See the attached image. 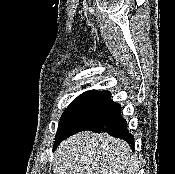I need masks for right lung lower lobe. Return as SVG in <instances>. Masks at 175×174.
<instances>
[{
	"instance_id": "right-lung-lower-lobe-1",
	"label": "right lung lower lobe",
	"mask_w": 175,
	"mask_h": 174,
	"mask_svg": "<svg viewBox=\"0 0 175 174\" xmlns=\"http://www.w3.org/2000/svg\"><path fill=\"white\" fill-rule=\"evenodd\" d=\"M107 132L124 139L134 150V137L127 129L126 120L121 116V106L111 100L109 91H93L80 107L62 138L54 149L69 136L84 131Z\"/></svg>"
}]
</instances>
